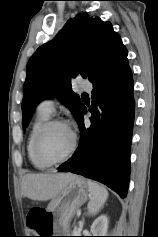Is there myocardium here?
Returning a JSON list of instances; mask_svg holds the SVG:
<instances>
[{"mask_svg":"<svg viewBox=\"0 0 158 237\" xmlns=\"http://www.w3.org/2000/svg\"><path fill=\"white\" fill-rule=\"evenodd\" d=\"M57 125L65 126L70 130L71 135H72V143H71L69 150L67 151V153L64 156H62L61 158H58V159H51V158L44 155V153L42 152L41 144H42V140H43L45 134L52 127L57 126ZM76 147H77L76 134L72 131V129L69 127V125L62 119L48 120L37 132L35 139H34V146H33L34 154L37 157V159L49 166L57 165V164L63 163L65 161H67L68 159H70L71 156L74 154Z\"/></svg>","mask_w":158,"mask_h":237,"instance_id":"f54148a6","label":"myocardium"}]
</instances>
